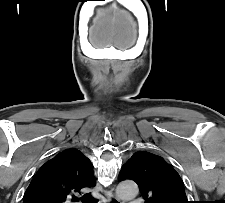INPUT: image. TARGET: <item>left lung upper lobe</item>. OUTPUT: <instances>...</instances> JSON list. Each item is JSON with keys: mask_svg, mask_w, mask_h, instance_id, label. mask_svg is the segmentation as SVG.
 I'll use <instances>...</instances> for the list:
<instances>
[{"mask_svg": "<svg viewBox=\"0 0 225 203\" xmlns=\"http://www.w3.org/2000/svg\"><path fill=\"white\" fill-rule=\"evenodd\" d=\"M126 179L137 183L145 203H189L179 174L158 155L135 152L118 176Z\"/></svg>", "mask_w": 225, "mask_h": 203, "instance_id": "obj_1", "label": "left lung upper lobe"}]
</instances>
